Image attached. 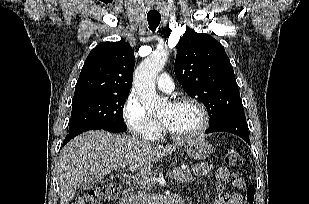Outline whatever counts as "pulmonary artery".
Instances as JSON below:
<instances>
[{
    "instance_id": "e3ab8cb5",
    "label": "pulmonary artery",
    "mask_w": 309,
    "mask_h": 204,
    "mask_svg": "<svg viewBox=\"0 0 309 204\" xmlns=\"http://www.w3.org/2000/svg\"><path fill=\"white\" fill-rule=\"evenodd\" d=\"M156 86L164 92H171L174 89V83L168 74H161L156 79Z\"/></svg>"
}]
</instances>
